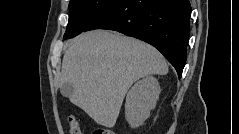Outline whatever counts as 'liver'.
<instances>
[{
    "label": "liver",
    "instance_id": "liver-1",
    "mask_svg": "<svg viewBox=\"0 0 239 134\" xmlns=\"http://www.w3.org/2000/svg\"><path fill=\"white\" fill-rule=\"evenodd\" d=\"M162 54L145 42L106 30L78 36L65 52L60 83H70V101L97 124L112 128L124 97L142 77L166 75Z\"/></svg>",
    "mask_w": 239,
    "mask_h": 134
}]
</instances>
